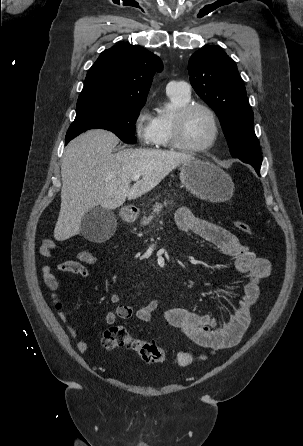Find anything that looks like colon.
<instances>
[{"label": "colon", "instance_id": "obj_1", "mask_svg": "<svg viewBox=\"0 0 303 446\" xmlns=\"http://www.w3.org/2000/svg\"><path fill=\"white\" fill-rule=\"evenodd\" d=\"M233 224L237 230L245 234H252V229L246 222L235 220ZM78 259L82 262L92 264L96 262L97 257L92 252L83 250L78 253ZM101 343L106 350L131 347L144 362L149 364L163 363L167 359L165 351L158 347L154 341L134 339L123 326H112L106 329L103 333Z\"/></svg>", "mask_w": 303, "mask_h": 446}]
</instances>
